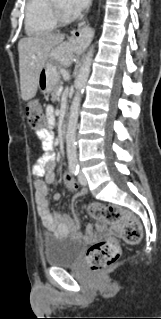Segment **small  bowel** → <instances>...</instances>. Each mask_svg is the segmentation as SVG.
I'll return each mask as SVG.
<instances>
[{
    "label": "small bowel",
    "mask_w": 161,
    "mask_h": 319,
    "mask_svg": "<svg viewBox=\"0 0 161 319\" xmlns=\"http://www.w3.org/2000/svg\"><path fill=\"white\" fill-rule=\"evenodd\" d=\"M46 118L48 124L47 129L43 130L42 132H35L36 138L41 143L42 150L46 153L38 157L32 166V173L35 177H37L34 182V188L38 214L43 226L49 231L56 232L59 235H64L69 232L76 233L80 229L79 221L72 220L71 216L63 210H58L53 215L49 208V184H51L55 179L56 168L54 156L48 153V151H52L56 146L54 134L52 132V127L54 125V114L51 107H48L46 110ZM46 143L52 144V149H46ZM63 182L69 188L75 187V182L70 176L65 175ZM83 194H85V189H81L77 193L78 196H81ZM53 199L56 202H60L62 200V194L55 193L53 195ZM97 229L100 233L98 235L99 237L108 232L119 231V228L117 226H108L103 220H100L97 223ZM86 234L89 238H92L94 236V232L91 226L87 227Z\"/></svg>",
    "instance_id": "c3829d8e"
}]
</instances>
